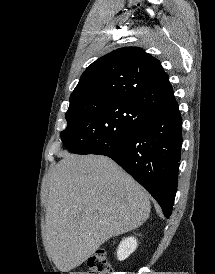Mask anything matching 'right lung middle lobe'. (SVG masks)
I'll list each match as a JSON object with an SVG mask.
<instances>
[{
    "instance_id": "right-lung-middle-lobe-1",
    "label": "right lung middle lobe",
    "mask_w": 215,
    "mask_h": 274,
    "mask_svg": "<svg viewBox=\"0 0 215 274\" xmlns=\"http://www.w3.org/2000/svg\"><path fill=\"white\" fill-rule=\"evenodd\" d=\"M150 112L120 100L70 103L67 128L61 132L65 148L75 154H93L134 132Z\"/></svg>"
}]
</instances>
